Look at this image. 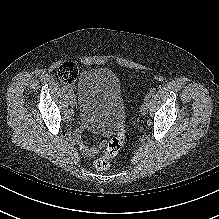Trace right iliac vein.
<instances>
[{"instance_id":"right-iliac-vein-1","label":"right iliac vein","mask_w":219,"mask_h":219,"mask_svg":"<svg viewBox=\"0 0 219 219\" xmlns=\"http://www.w3.org/2000/svg\"><path fill=\"white\" fill-rule=\"evenodd\" d=\"M76 97H75V95L74 94H71L70 95V105L72 106V107H74V106H76Z\"/></svg>"}]
</instances>
